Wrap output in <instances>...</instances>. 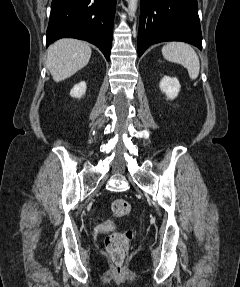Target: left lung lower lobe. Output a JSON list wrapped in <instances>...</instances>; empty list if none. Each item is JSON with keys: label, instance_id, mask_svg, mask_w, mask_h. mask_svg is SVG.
Returning a JSON list of instances; mask_svg holds the SVG:
<instances>
[{"label": "left lung lower lobe", "instance_id": "0a47b994", "mask_svg": "<svg viewBox=\"0 0 240 287\" xmlns=\"http://www.w3.org/2000/svg\"><path fill=\"white\" fill-rule=\"evenodd\" d=\"M163 41H183L202 49L197 0H141L138 56Z\"/></svg>", "mask_w": 240, "mask_h": 287}]
</instances>
